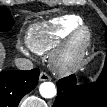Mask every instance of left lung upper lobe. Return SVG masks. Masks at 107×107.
<instances>
[{"label":"left lung upper lobe","mask_w":107,"mask_h":107,"mask_svg":"<svg viewBox=\"0 0 107 107\" xmlns=\"http://www.w3.org/2000/svg\"><path fill=\"white\" fill-rule=\"evenodd\" d=\"M105 38H106V42H107V29H106V33H105ZM105 65L107 66V57H106Z\"/></svg>","instance_id":"left-lung-upper-lobe-1"}]
</instances>
